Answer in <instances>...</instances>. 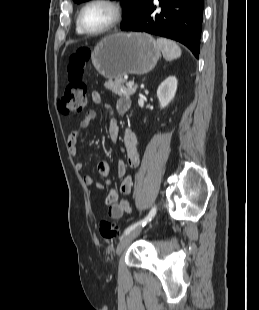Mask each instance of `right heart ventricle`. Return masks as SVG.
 Wrapping results in <instances>:
<instances>
[{
	"instance_id": "right-heart-ventricle-1",
	"label": "right heart ventricle",
	"mask_w": 259,
	"mask_h": 310,
	"mask_svg": "<svg viewBox=\"0 0 259 310\" xmlns=\"http://www.w3.org/2000/svg\"><path fill=\"white\" fill-rule=\"evenodd\" d=\"M76 32L79 34V35H83L84 33L79 29L78 25H76Z\"/></svg>"
}]
</instances>
